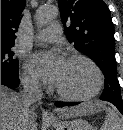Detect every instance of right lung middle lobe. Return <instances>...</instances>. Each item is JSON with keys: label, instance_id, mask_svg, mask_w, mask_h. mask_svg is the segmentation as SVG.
Wrapping results in <instances>:
<instances>
[{"label": "right lung middle lobe", "instance_id": "dd1d6c3e", "mask_svg": "<svg viewBox=\"0 0 123 130\" xmlns=\"http://www.w3.org/2000/svg\"><path fill=\"white\" fill-rule=\"evenodd\" d=\"M13 46L1 45V71L19 76V62L13 58Z\"/></svg>", "mask_w": 123, "mask_h": 130}]
</instances>
